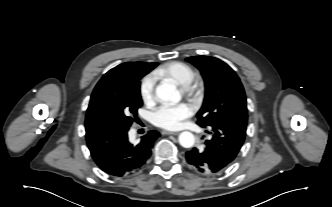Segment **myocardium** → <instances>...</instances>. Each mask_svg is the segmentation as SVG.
I'll return each instance as SVG.
<instances>
[{
	"label": "myocardium",
	"mask_w": 332,
	"mask_h": 207,
	"mask_svg": "<svg viewBox=\"0 0 332 207\" xmlns=\"http://www.w3.org/2000/svg\"><path fill=\"white\" fill-rule=\"evenodd\" d=\"M200 88V82L193 78L187 85L182 87V90L193 101H197L200 95Z\"/></svg>",
	"instance_id": "f54148a6"
}]
</instances>
